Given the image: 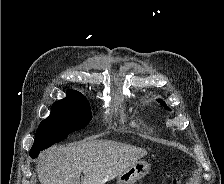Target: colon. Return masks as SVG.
Masks as SVG:
<instances>
[{"label":"colon","instance_id":"colon-1","mask_svg":"<svg viewBox=\"0 0 224 184\" xmlns=\"http://www.w3.org/2000/svg\"><path fill=\"white\" fill-rule=\"evenodd\" d=\"M180 175L177 172H169L167 173L166 178L163 181V184H179Z\"/></svg>","mask_w":224,"mask_h":184}]
</instances>
